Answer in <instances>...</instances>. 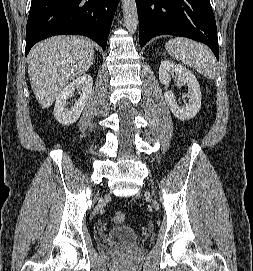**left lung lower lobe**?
Instances as JSON below:
<instances>
[{
	"instance_id": "left-lung-lower-lobe-1",
	"label": "left lung lower lobe",
	"mask_w": 253,
	"mask_h": 271,
	"mask_svg": "<svg viewBox=\"0 0 253 271\" xmlns=\"http://www.w3.org/2000/svg\"><path fill=\"white\" fill-rule=\"evenodd\" d=\"M136 3L141 47L158 35L182 36L208 45L219 60L210 0H136Z\"/></svg>"
}]
</instances>
